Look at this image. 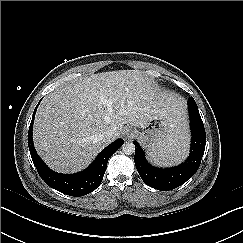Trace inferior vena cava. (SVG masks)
<instances>
[{
	"label": "inferior vena cava",
	"mask_w": 243,
	"mask_h": 243,
	"mask_svg": "<svg viewBox=\"0 0 243 243\" xmlns=\"http://www.w3.org/2000/svg\"><path fill=\"white\" fill-rule=\"evenodd\" d=\"M103 138H104L105 140H108V141H113V140H115V138H116L115 131L112 130V129H111V130H108V131L104 134Z\"/></svg>",
	"instance_id": "obj_1"
}]
</instances>
